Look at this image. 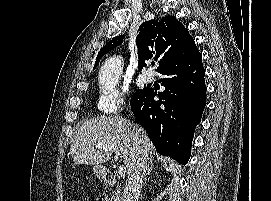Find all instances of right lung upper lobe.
<instances>
[{
    "label": "right lung upper lobe",
    "instance_id": "cb5924a9",
    "mask_svg": "<svg viewBox=\"0 0 271 201\" xmlns=\"http://www.w3.org/2000/svg\"><path fill=\"white\" fill-rule=\"evenodd\" d=\"M124 37L113 38L100 50L95 67L102 56L123 43ZM190 38L188 30L174 16H165L160 21L150 20L142 23L136 38L139 70L146 65V60L154 58L159 60V66L156 69L158 71L180 51L183 44Z\"/></svg>",
    "mask_w": 271,
    "mask_h": 201
}]
</instances>
